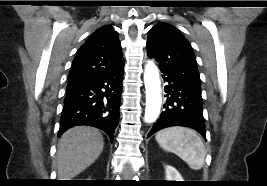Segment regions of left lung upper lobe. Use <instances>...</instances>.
<instances>
[{
  "mask_svg": "<svg viewBox=\"0 0 267 186\" xmlns=\"http://www.w3.org/2000/svg\"><path fill=\"white\" fill-rule=\"evenodd\" d=\"M149 57L160 69H168L197 86H201L196 57L185 37L172 25L159 23L150 31L146 43Z\"/></svg>",
  "mask_w": 267,
  "mask_h": 186,
  "instance_id": "5c2ea615",
  "label": "left lung upper lobe"
}]
</instances>
